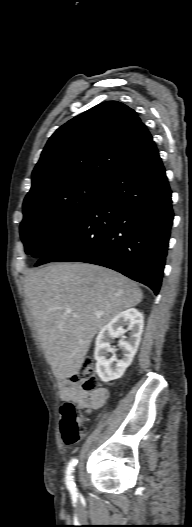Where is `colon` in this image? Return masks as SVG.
I'll use <instances>...</instances> for the list:
<instances>
[{"instance_id":"5ec220e1","label":"colon","mask_w":192,"mask_h":527,"mask_svg":"<svg viewBox=\"0 0 192 527\" xmlns=\"http://www.w3.org/2000/svg\"><path fill=\"white\" fill-rule=\"evenodd\" d=\"M72 381L85 391H94L98 388L94 363L85 359L79 371L72 377ZM61 436L63 442L70 446L78 442L84 435L86 427L81 420L77 406L71 401H65L60 408Z\"/></svg>"}]
</instances>
